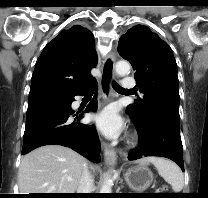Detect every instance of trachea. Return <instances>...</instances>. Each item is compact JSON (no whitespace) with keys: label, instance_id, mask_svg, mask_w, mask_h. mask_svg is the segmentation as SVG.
<instances>
[{"label":"trachea","instance_id":"obj_1","mask_svg":"<svg viewBox=\"0 0 208 198\" xmlns=\"http://www.w3.org/2000/svg\"><path fill=\"white\" fill-rule=\"evenodd\" d=\"M113 88L116 90V91H128V89H124L122 88L118 83L116 82H113Z\"/></svg>","mask_w":208,"mask_h":198}]
</instances>
